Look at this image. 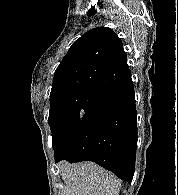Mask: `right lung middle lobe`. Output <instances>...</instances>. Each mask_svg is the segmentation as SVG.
<instances>
[{
	"label": "right lung middle lobe",
	"mask_w": 178,
	"mask_h": 195,
	"mask_svg": "<svg viewBox=\"0 0 178 195\" xmlns=\"http://www.w3.org/2000/svg\"><path fill=\"white\" fill-rule=\"evenodd\" d=\"M96 95L91 92H71L50 98L49 125L54 150L82 119Z\"/></svg>",
	"instance_id": "dd1d6c3e"
}]
</instances>
